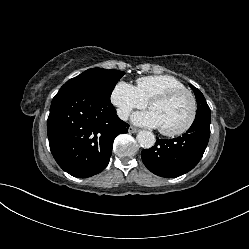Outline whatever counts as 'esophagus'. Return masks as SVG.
<instances>
[{"label":"esophagus","mask_w":249,"mask_h":249,"mask_svg":"<svg viewBox=\"0 0 249 249\" xmlns=\"http://www.w3.org/2000/svg\"><path fill=\"white\" fill-rule=\"evenodd\" d=\"M128 131H129V132H132V133H136V132L138 131V129H136L135 127L130 126V127L128 128Z\"/></svg>","instance_id":"34e87169"}]
</instances>
